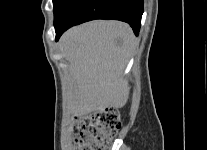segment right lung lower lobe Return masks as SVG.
<instances>
[{
	"label": "right lung lower lobe",
	"instance_id": "98d812e1",
	"mask_svg": "<svg viewBox=\"0 0 207 150\" xmlns=\"http://www.w3.org/2000/svg\"><path fill=\"white\" fill-rule=\"evenodd\" d=\"M142 14L143 0H70L54 19L56 40L71 26L93 19L127 22L137 35Z\"/></svg>",
	"mask_w": 207,
	"mask_h": 150
}]
</instances>
